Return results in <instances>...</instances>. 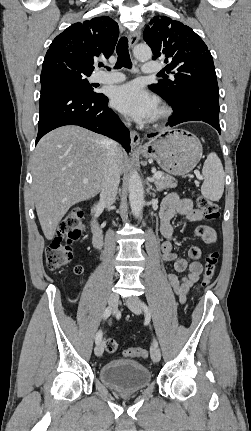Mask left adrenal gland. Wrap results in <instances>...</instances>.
Returning <instances> with one entry per match:
<instances>
[{"instance_id": "1", "label": "left adrenal gland", "mask_w": 251, "mask_h": 431, "mask_svg": "<svg viewBox=\"0 0 251 431\" xmlns=\"http://www.w3.org/2000/svg\"><path fill=\"white\" fill-rule=\"evenodd\" d=\"M147 185H148V190H152L154 193H156V190L152 188V185L150 183H147Z\"/></svg>"}]
</instances>
